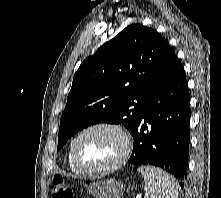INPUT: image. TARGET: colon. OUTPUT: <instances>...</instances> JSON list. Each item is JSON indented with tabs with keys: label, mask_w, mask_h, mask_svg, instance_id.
<instances>
[{
	"label": "colon",
	"mask_w": 221,
	"mask_h": 198,
	"mask_svg": "<svg viewBox=\"0 0 221 198\" xmlns=\"http://www.w3.org/2000/svg\"><path fill=\"white\" fill-rule=\"evenodd\" d=\"M52 198H74V193L61 177L54 181Z\"/></svg>",
	"instance_id": "1"
}]
</instances>
